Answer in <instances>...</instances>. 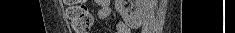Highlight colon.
<instances>
[{
	"instance_id": "colon-1",
	"label": "colon",
	"mask_w": 235,
	"mask_h": 33,
	"mask_svg": "<svg viewBox=\"0 0 235 33\" xmlns=\"http://www.w3.org/2000/svg\"><path fill=\"white\" fill-rule=\"evenodd\" d=\"M67 18L75 33H88L93 17L86 5L80 1H68Z\"/></svg>"
}]
</instances>
